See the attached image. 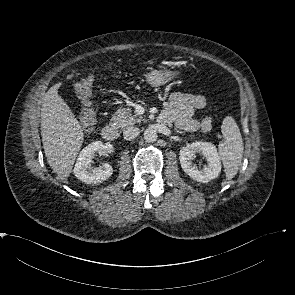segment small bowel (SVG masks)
<instances>
[{
	"label": "small bowel",
	"instance_id": "obj_1",
	"mask_svg": "<svg viewBox=\"0 0 295 295\" xmlns=\"http://www.w3.org/2000/svg\"><path fill=\"white\" fill-rule=\"evenodd\" d=\"M203 96L186 93H172L164 103V110L159 118L162 123H174L182 129H193L196 121L193 119L195 109L204 107Z\"/></svg>",
	"mask_w": 295,
	"mask_h": 295
}]
</instances>
